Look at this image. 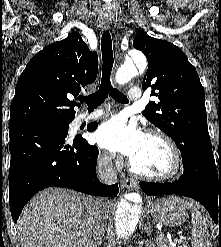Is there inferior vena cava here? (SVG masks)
Segmentation results:
<instances>
[{
	"instance_id": "obj_1",
	"label": "inferior vena cava",
	"mask_w": 221,
	"mask_h": 247,
	"mask_svg": "<svg viewBox=\"0 0 221 247\" xmlns=\"http://www.w3.org/2000/svg\"><path fill=\"white\" fill-rule=\"evenodd\" d=\"M112 155L105 154L98 163L97 174L100 181L104 183H114L117 181V175L112 166ZM105 201L103 199H97L95 202V208L93 212V243L101 240L104 234V228L106 225V211L104 210Z\"/></svg>"
}]
</instances>
